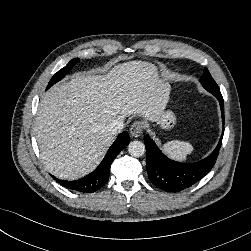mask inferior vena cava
I'll return each instance as SVG.
<instances>
[{
	"mask_svg": "<svg viewBox=\"0 0 251 251\" xmlns=\"http://www.w3.org/2000/svg\"><path fill=\"white\" fill-rule=\"evenodd\" d=\"M124 128V123L123 121L120 120H114L113 122L110 123L108 126V131L112 134H118L122 131Z\"/></svg>",
	"mask_w": 251,
	"mask_h": 251,
	"instance_id": "obj_1",
	"label": "inferior vena cava"
}]
</instances>
